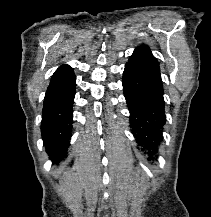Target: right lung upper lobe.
<instances>
[{"instance_id":"1","label":"right lung upper lobe","mask_w":211,"mask_h":217,"mask_svg":"<svg viewBox=\"0 0 211 217\" xmlns=\"http://www.w3.org/2000/svg\"><path fill=\"white\" fill-rule=\"evenodd\" d=\"M73 69L68 65H63L53 74L50 85L61 83L73 75Z\"/></svg>"}]
</instances>
